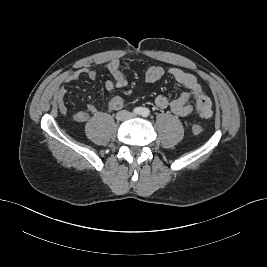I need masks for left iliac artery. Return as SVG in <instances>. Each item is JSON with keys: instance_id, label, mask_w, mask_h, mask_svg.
Segmentation results:
<instances>
[{"instance_id": "1", "label": "left iliac artery", "mask_w": 267, "mask_h": 267, "mask_svg": "<svg viewBox=\"0 0 267 267\" xmlns=\"http://www.w3.org/2000/svg\"><path fill=\"white\" fill-rule=\"evenodd\" d=\"M142 115L144 117H147L149 115V111L148 110H143Z\"/></svg>"}]
</instances>
